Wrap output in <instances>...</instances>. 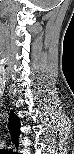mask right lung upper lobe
<instances>
[{
	"label": "right lung upper lobe",
	"mask_w": 74,
	"mask_h": 154,
	"mask_svg": "<svg viewBox=\"0 0 74 154\" xmlns=\"http://www.w3.org/2000/svg\"><path fill=\"white\" fill-rule=\"evenodd\" d=\"M9 124H10L11 130H13L15 133H18V131H19V118L14 114V112L12 110L10 112V123Z\"/></svg>",
	"instance_id": "right-lung-upper-lobe-1"
}]
</instances>
